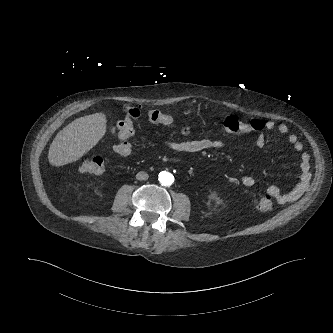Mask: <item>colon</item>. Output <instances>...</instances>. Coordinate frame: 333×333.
I'll list each match as a JSON object with an SVG mask.
<instances>
[{"instance_id":"1","label":"colon","mask_w":333,"mask_h":333,"mask_svg":"<svg viewBox=\"0 0 333 333\" xmlns=\"http://www.w3.org/2000/svg\"><path fill=\"white\" fill-rule=\"evenodd\" d=\"M146 115L150 122L167 126H175L185 135L204 133V130H200L193 125L177 124L172 115L157 109L147 111ZM139 116V109L131 107L125 108V117L117 124L119 133L130 138L134 134V121ZM264 127L265 123L259 119L244 121L236 117L229 116L223 122L222 131L227 133H250L260 131ZM105 168V161L100 156L85 158L80 165L81 172L87 174H101L105 171ZM256 207L261 212H269L273 209V202L270 197H262L256 201Z\"/></svg>"}]
</instances>
